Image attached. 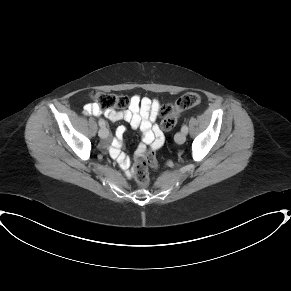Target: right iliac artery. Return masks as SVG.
<instances>
[{"label": "right iliac artery", "mask_w": 291, "mask_h": 291, "mask_svg": "<svg viewBox=\"0 0 291 291\" xmlns=\"http://www.w3.org/2000/svg\"><path fill=\"white\" fill-rule=\"evenodd\" d=\"M98 123H99L100 127H102V128L105 127V121L103 119H99Z\"/></svg>", "instance_id": "1"}]
</instances>
